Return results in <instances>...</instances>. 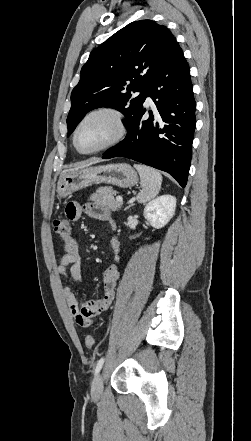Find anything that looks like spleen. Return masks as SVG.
Masks as SVG:
<instances>
[{
	"label": "spleen",
	"mask_w": 251,
	"mask_h": 441,
	"mask_svg": "<svg viewBox=\"0 0 251 441\" xmlns=\"http://www.w3.org/2000/svg\"><path fill=\"white\" fill-rule=\"evenodd\" d=\"M141 179V191L137 195V202L145 204L154 199L160 192L162 175L159 171L146 165L135 164Z\"/></svg>",
	"instance_id": "3e777b00"
}]
</instances>
